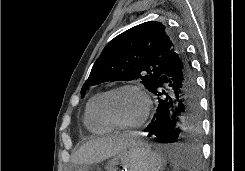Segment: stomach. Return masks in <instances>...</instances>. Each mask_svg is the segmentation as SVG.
<instances>
[{"label": "stomach", "mask_w": 245, "mask_h": 171, "mask_svg": "<svg viewBox=\"0 0 245 171\" xmlns=\"http://www.w3.org/2000/svg\"><path fill=\"white\" fill-rule=\"evenodd\" d=\"M162 158L146 144H135L120 151L108 160L107 171H160ZM73 171H88L77 166Z\"/></svg>", "instance_id": "1"}]
</instances>
